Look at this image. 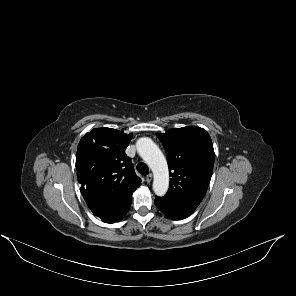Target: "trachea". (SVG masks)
<instances>
[{"instance_id":"1","label":"trachea","mask_w":296,"mask_h":296,"mask_svg":"<svg viewBox=\"0 0 296 296\" xmlns=\"http://www.w3.org/2000/svg\"><path fill=\"white\" fill-rule=\"evenodd\" d=\"M137 170L139 173H141L142 175H148L149 174V168L148 166L143 163V162H140L137 164Z\"/></svg>"}]
</instances>
